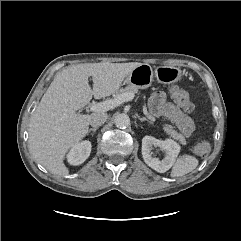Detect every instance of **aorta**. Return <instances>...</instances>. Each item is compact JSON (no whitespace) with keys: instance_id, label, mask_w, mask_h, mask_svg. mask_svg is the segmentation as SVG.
<instances>
[{"instance_id":"762f6f07","label":"aorta","mask_w":241,"mask_h":241,"mask_svg":"<svg viewBox=\"0 0 241 241\" xmlns=\"http://www.w3.org/2000/svg\"><path fill=\"white\" fill-rule=\"evenodd\" d=\"M114 123L118 128H126L130 125V118L127 114L121 113L115 117Z\"/></svg>"}]
</instances>
